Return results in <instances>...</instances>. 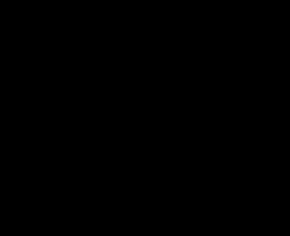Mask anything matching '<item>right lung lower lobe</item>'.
I'll list each match as a JSON object with an SVG mask.
<instances>
[{
    "label": "right lung lower lobe",
    "instance_id": "obj_1",
    "mask_svg": "<svg viewBox=\"0 0 290 236\" xmlns=\"http://www.w3.org/2000/svg\"><path fill=\"white\" fill-rule=\"evenodd\" d=\"M51 137L68 175L101 197L127 184L135 162L151 142L139 113L130 108H51Z\"/></svg>",
    "mask_w": 290,
    "mask_h": 236
}]
</instances>
